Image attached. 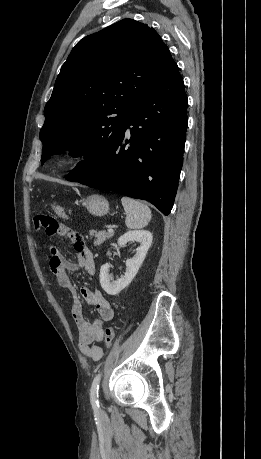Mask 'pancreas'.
Here are the masks:
<instances>
[{
  "label": "pancreas",
  "mask_w": 261,
  "mask_h": 459,
  "mask_svg": "<svg viewBox=\"0 0 261 459\" xmlns=\"http://www.w3.org/2000/svg\"><path fill=\"white\" fill-rule=\"evenodd\" d=\"M90 236L94 237V245H100L107 239L113 237V233L105 232V231H99L97 232L96 230H90Z\"/></svg>",
  "instance_id": "pancreas-1"
}]
</instances>
